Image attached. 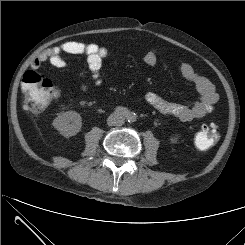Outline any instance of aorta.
Returning a JSON list of instances; mask_svg holds the SVG:
<instances>
[{"mask_svg": "<svg viewBox=\"0 0 245 245\" xmlns=\"http://www.w3.org/2000/svg\"><path fill=\"white\" fill-rule=\"evenodd\" d=\"M136 119H137V116H136V114L135 113H129L128 115H127V120L129 121V122H135L136 121Z\"/></svg>", "mask_w": 245, "mask_h": 245, "instance_id": "aorta-1", "label": "aorta"}]
</instances>
